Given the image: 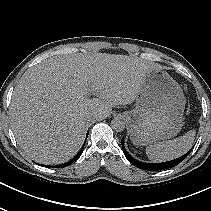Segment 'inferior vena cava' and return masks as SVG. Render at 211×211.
<instances>
[{
	"mask_svg": "<svg viewBox=\"0 0 211 211\" xmlns=\"http://www.w3.org/2000/svg\"><path fill=\"white\" fill-rule=\"evenodd\" d=\"M94 119H96V117H95V116H93V117L88 116V117H87V120H88V121H91V120H94Z\"/></svg>",
	"mask_w": 211,
	"mask_h": 211,
	"instance_id": "1",
	"label": "inferior vena cava"
}]
</instances>
